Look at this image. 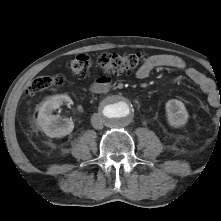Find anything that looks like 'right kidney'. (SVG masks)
Masks as SVG:
<instances>
[{
	"label": "right kidney",
	"mask_w": 221,
	"mask_h": 221,
	"mask_svg": "<svg viewBox=\"0 0 221 221\" xmlns=\"http://www.w3.org/2000/svg\"><path fill=\"white\" fill-rule=\"evenodd\" d=\"M64 103L71 105L73 101L67 95H55L46 100L39 108L37 124L51 138L64 137L74 129L73 121L65 119L63 124H59L58 116L52 115L53 110L59 109Z\"/></svg>",
	"instance_id": "right-kidney-1"
}]
</instances>
